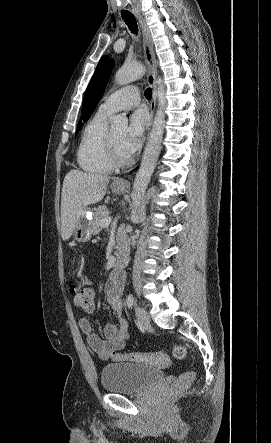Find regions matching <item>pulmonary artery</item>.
Masks as SVG:
<instances>
[{"label":"pulmonary artery","instance_id":"1","mask_svg":"<svg viewBox=\"0 0 271 443\" xmlns=\"http://www.w3.org/2000/svg\"><path fill=\"white\" fill-rule=\"evenodd\" d=\"M140 92L136 86L121 88L104 98L98 111L108 114L136 107L140 103Z\"/></svg>","mask_w":271,"mask_h":443}]
</instances>
